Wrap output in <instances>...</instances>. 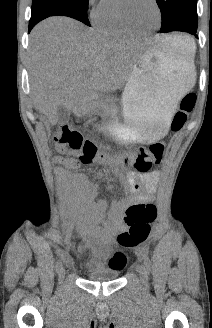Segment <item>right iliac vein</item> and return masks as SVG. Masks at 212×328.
I'll list each match as a JSON object with an SVG mask.
<instances>
[{
  "label": "right iliac vein",
  "instance_id": "obj_1",
  "mask_svg": "<svg viewBox=\"0 0 212 328\" xmlns=\"http://www.w3.org/2000/svg\"><path fill=\"white\" fill-rule=\"evenodd\" d=\"M64 277H65V269H64V267H61L58 272L59 281L62 282Z\"/></svg>",
  "mask_w": 212,
  "mask_h": 328
}]
</instances>
